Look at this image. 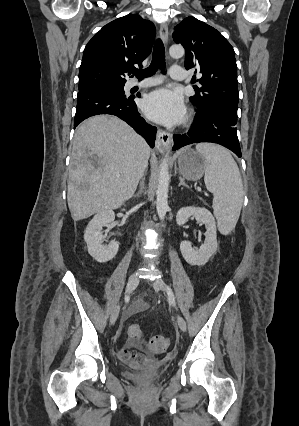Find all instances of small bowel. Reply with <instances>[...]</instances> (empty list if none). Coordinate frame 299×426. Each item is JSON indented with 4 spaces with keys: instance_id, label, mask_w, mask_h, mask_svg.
<instances>
[{
    "instance_id": "obj_1",
    "label": "small bowel",
    "mask_w": 299,
    "mask_h": 426,
    "mask_svg": "<svg viewBox=\"0 0 299 426\" xmlns=\"http://www.w3.org/2000/svg\"><path fill=\"white\" fill-rule=\"evenodd\" d=\"M145 303L138 301L133 306V311L142 312L146 310ZM119 358L132 368L150 367L160 362L153 352L145 345L137 341L127 340L118 352Z\"/></svg>"
}]
</instances>
